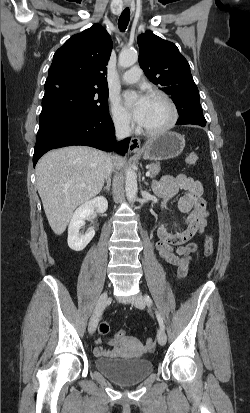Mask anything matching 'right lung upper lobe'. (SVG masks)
I'll list each match as a JSON object with an SVG mask.
<instances>
[{
	"instance_id": "right-lung-upper-lobe-1",
	"label": "right lung upper lobe",
	"mask_w": 250,
	"mask_h": 413,
	"mask_svg": "<svg viewBox=\"0 0 250 413\" xmlns=\"http://www.w3.org/2000/svg\"><path fill=\"white\" fill-rule=\"evenodd\" d=\"M111 50V37L99 24L73 35L53 56L45 93L64 85L108 89L105 76Z\"/></svg>"
}]
</instances>
